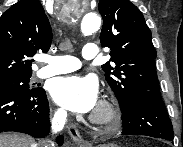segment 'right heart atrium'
Returning <instances> with one entry per match:
<instances>
[{"mask_svg": "<svg viewBox=\"0 0 183 147\" xmlns=\"http://www.w3.org/2000/svg\"><path fill=\"white\" fill-rule=\"evenodd\" d=\"M57 120H62L64 117V112L62 110H58L55 114Z\"/></svg>", "mask_w": 183, "mask_h": 147, "instance_id": "d8ad5b80", "label": "right heart atrium"}]
</instances>
